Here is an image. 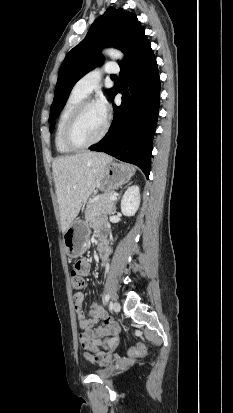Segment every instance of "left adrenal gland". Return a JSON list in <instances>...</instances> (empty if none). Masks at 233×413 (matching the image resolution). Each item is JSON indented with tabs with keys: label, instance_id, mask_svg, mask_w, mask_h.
Wrapping results in <instances>:
<instances>
[{
	"label": "left adrenal gland",
	"instance_id": "1",
	"mask_svg": "<svg viewBox=\"0 0 233 413\" xmlns=\"http://www.w3.org/2000/svg\"><path fill=\"white\" fill-rule=\"evenodd\" d=\"M119 198H120V195L118 196V198H117V199L115 200V202H114L113 211L116 210V203H117V201H118Z\"/></svg>",
	"mask_w": 233,
	"mask_h": 413
}]
</instances>
